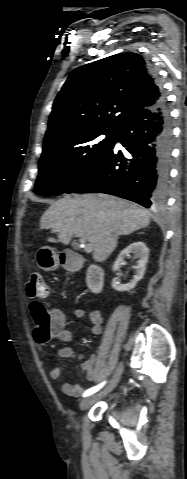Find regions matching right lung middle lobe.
<instances>
[{"label":"right lung middle lobe","mask_w":187,"mask_h":479,"mask_svg":"<svg viewBox=\"0 0 187 479\" xmlns=\"http://www.w3.org/2000/svg\"><path fill=\"white\" fill-rule=\"evenodd\" d=\"M118 129H90L44 145L35 192L65 193L113 146Z\"/></svg>","instance_id":"right-lung-middle-lobe-1"}]
</instances>
